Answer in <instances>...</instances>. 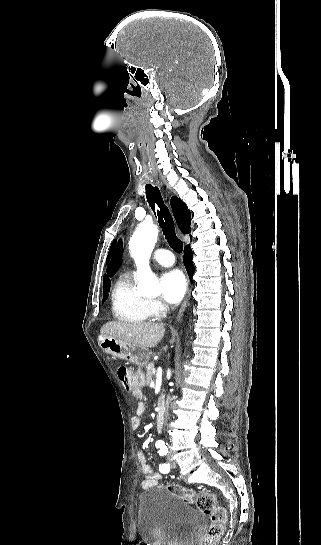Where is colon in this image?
<instances>
[{
    "mask_svg": "<svg viewBox=\"0 0 321 545\" xmlns=\"http://www.w3.org/2000/svg\"><path fill=\"white\" fill-rule=\"evenodd\" d=\"M117 375L127 390L133 389L134 384L128 367L120 366L117 369ZM166 489L180 499L194 501L197 508L209 516L210 525L200 545H217L225 529L227 514L225 508L219 504L216 495L211 492H201L196 495L190 489L175 484L168 485Z\"/></svg>",
    "mask_w": 321,
    "mask_h": 545,
    "instance_id": "colon-1",
    "label": "colon"
}]
</instances>
